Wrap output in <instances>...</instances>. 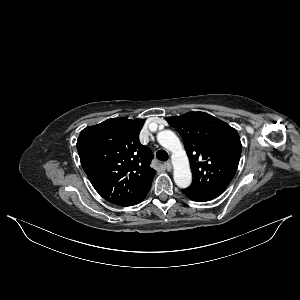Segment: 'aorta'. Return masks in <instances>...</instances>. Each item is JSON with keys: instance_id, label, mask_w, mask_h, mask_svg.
<instances>
[{"instance_id": "762f6f07", "label": "aorta", "mask_w": 300, "mask_h": 300, "mask_svg": "<svg viewBox=\"0 0 300 300\" xmlns=\"http://www.w3.org/2000/svg\"><path fill=\"white\" fill-rule=\"evenodd\" d=\"M157 140L161 146L172 152L173 177L176 185L180 188L189 187L192 181L191 169L179 138L171 130H162L158 133Z\"/></svg>"}]
</instances>
